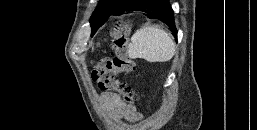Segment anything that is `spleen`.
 Masks as SVG:
<instances>
[{"label": "spleen", "instance_id": "1", "mask_svg": "<svg viewBox=\"0 0 257 130\" xmlns=\"http://www.w3.org/2000/svg\"><path fill=\"white\" fill-rule=\"evenodd\" d=\"M175 43L170 35L158 26H144L131 37L128 56L147 62H167L174 56Z\"/></svg>", "mask_w": 257, "mask_h": 130}]
</instances>
